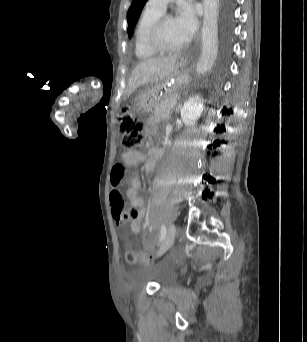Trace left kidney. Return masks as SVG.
I'll use <instances>...</instances> for the list:
<instances>
[{
	"label": "left kidney",
	"instance_id": "5707ae66",
	"mask_svg": "<svg viewBox=\"0 0 307 342\" xmlns=\"http://www.w3.org/2000/svg\"><path fill=\"white\" fill-rule=\"evenodd\" d=\"M204 112V104L198 96H192L184 102L180 116L183 124L186 126H195L197 120H199L201 114Z\"/></svg>",
	"mask_w": 307,
	"mask_h": 342
}]
</instances>
